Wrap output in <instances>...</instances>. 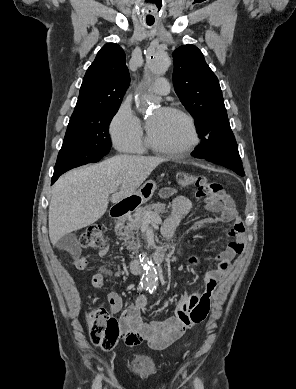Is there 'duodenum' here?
<instances>
[{
	"instance_id": "410a0bca",
	"label": "duodenum",
	"mask_w": 296,
	"mask_h": 389,
	"mask_svg": "<svg viewBox=\"0 0 296 389\" xmlns=\"http://www.w3.org/2000/svg\"><path fill=\"white\" fill-rule=\"evenodd\" d=\"M139 202L134 199V198H128L125 199L118 204H116L112 209H111V217L115 220L120 219L133 211L137 206ZM166 257V252L163 249H158L157 251L154 252L153 254V260L155 263H160L162 262ZM130 270L133 274H142L143 273V263L142 261L139 260H134L130 264Z\"/></svg>"
}]
</instances>
